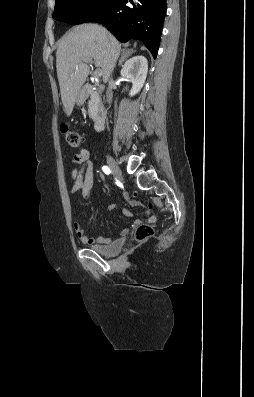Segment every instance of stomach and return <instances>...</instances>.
<instances>
[{
    "mask_svg": "<svg viewBox=\"0 0 254 397\" xmlns=\"http://www.w3.org/2000/svg\"><path fill=\"white\" fill-rule=\"evenodd\" d=\"M85 101V93L83 91H79L76 98V103L78 105H82Z\"/></svg>",
    "mask_w": 254,
    "mask_h": 397,
    "instance_id": "obj_1",
    "label": "stomach"
}]
</instances>
